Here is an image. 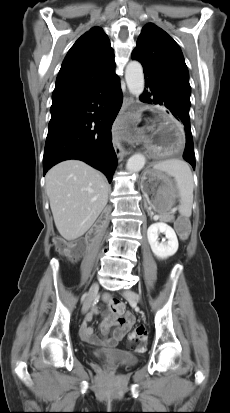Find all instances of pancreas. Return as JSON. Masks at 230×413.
<instances>
[{"label": "pancreas", "instance_id": "cf45deb5", "mask_svg": "<svg viewBox=\"0 0 230 413\" xmlns=\"http://www.w3.org/2000/svg\"><path fill=\"white\" fill-rule=\"evenodd\" d=\"M162 220L167 221V222H170V221H173V220H174V216H172V215H165V216L162 217Z\"/></svg>", "mask_w": 230, "mask_h": 413}]
</instances>
